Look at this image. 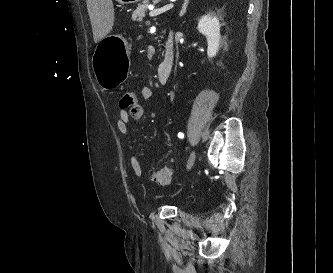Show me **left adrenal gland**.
<instances>
[{
  "mask_svg": "<svg viewBox=\"0 0 333 273\" xmlns=\"http://www.w3.org/2000/svg\"><path fill=\"white\" fill-rule=\"evenodd\" d=\"M188 3H189V0H184V3L182 5V9H181L180 14H179L180 17L183 16L186 13Z\"/></svg>",
  "mask_w": 333,
  "mask_h": 273,
  "instance_id": "left-adrenal-gland-1",
  "label": "left adrenal gland"
}]
</instances>
